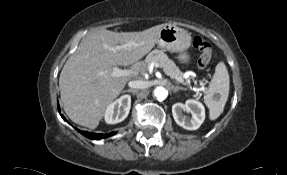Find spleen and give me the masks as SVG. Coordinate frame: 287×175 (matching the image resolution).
<instances>
[{
	"instance_id": "obj_1",
	"label": "spleen",
	"mask_w": 287,
	"mask_h": 175,
	"mask_svg": "<svg viewBox=\"0 0 287 175\" xmlns=\"http://www.w3.org/2000/svg\"><path fill=\"white\" fill-rule=\"evenodd\" d=\"M229 74L223 62H219L206 90L204 103L209 108V118L217 119L224 110L229 95Z\"/></svg>"
}]
</instances>
